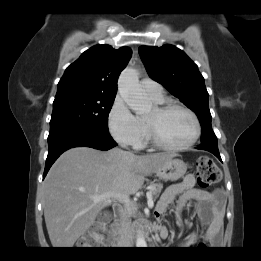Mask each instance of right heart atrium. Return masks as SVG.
<instances>
[{"label":"right heart atrium","mask_w":261,"mask_h":261,"mask_svg":"<svg viewBox=\"0 0 261 261\" xmlns=\"http://www.w3.org/2000/svg\"><path fill=\"white\" fill-rule=\"evenodd\" d=\"M108 127L112 137L123 146L138 148L143 144L145 126L125 101L117 97L108 115Z\"/></svg>","instance_id":"right-heart-atrium-1"}]
</instances>
